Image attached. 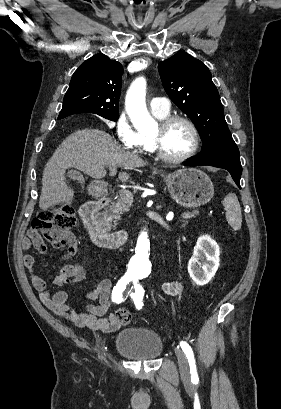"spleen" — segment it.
Wrapping results in <instances>:
<instances>
[{
	"label": "spleen",
	"instance_id": "1",
	"mask_svg": "<svg viewBox=\"0 0 281 409\" xmlns=\"http://www.w3.org/2000/svg\"><path fill=\"white\" fill-rule=\"evenodd\" d=\"M223 207H225L228 225H230L234 231H239L242 227V213L240 202L234 192H228V194H226L223 200Z\"/></svg>",
	"mask_w": 281,
	"mask_h": 409
}]
</instances>
